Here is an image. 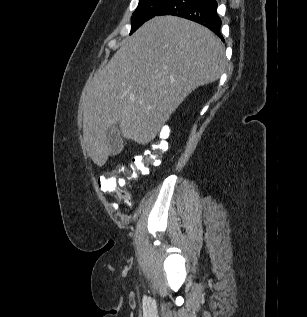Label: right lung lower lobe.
<instances>
[{
  "instance_id": "obj_1",
  "label": "right lung lower lobe",
  "mask_w": 307,
  "mask_h": 317,
  "mask_svg": "<svg viewBox=\"0 0 307 317\" xmlns=\"http://www.w3.org/2000/svg\"><path fill=\"white\" fill-rule=\"evenodd\" d=\"M173 15L195 21L218 35L224 41L221 33V19L217 14L216 0H172L158 16Z\"/></svg>"
}]
</instances>
